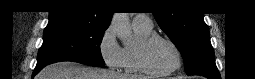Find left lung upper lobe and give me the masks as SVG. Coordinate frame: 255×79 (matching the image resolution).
Wrapping results in <instances>:
<instances>
[{
  "mask_svg": "<svg viewBox=\"0 0 255 79\" xmlns=\"http://www.w3.org/2000/svg\"><path fill=\"white\" fill-rule=\"evenodd\" d=\"M154 2L159 9L153 15L161 29L181 52L186 73L188 75L219 73L203 14L168 11V7L175 1L156 0Z\"/></svg>",
  "mask_w": 255,
  "mask_h": 79,
  "instance_id": "obj_1",
  "label": "left lung upper lobe"
}]
</instances>
